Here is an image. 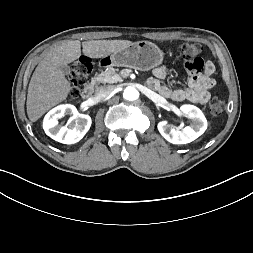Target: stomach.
I'll use <instances>...</instances> for the list:
<instances>
[{"mask_svg":"<svg viewBox=\"0 0 253 253\" xmlns=\"http://www.w3.org/2000/svg\"><path fill=\"white\" fill-rule=\"evenodd\" d=\"M102 59L101 66L107 69L118 66L147 71L162 63L163 52L152 42L138 41Z\"/></svg>","mask_w":253,"mask_h":253,"instance_id":"1","label":"stomach"}]
</instances>
